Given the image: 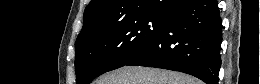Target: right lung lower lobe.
<instances>
[{
  "label": "right lung lower lobe",
  "instance_id": "1",
  "mask_svg": "<svg viewBox=\"0 0 260 84\" xmlns=\"http://www.w3.org/2000/svg\"><path fill=\"white\" fill-rule=\"evenodd\" d=\"M222 21L216 0H191L168 15L160 35L127 66H146L193 75L218 84Z\"/></svg>",
  "mask_w": 260,
  "mask_h": 84
}]
</instances>
